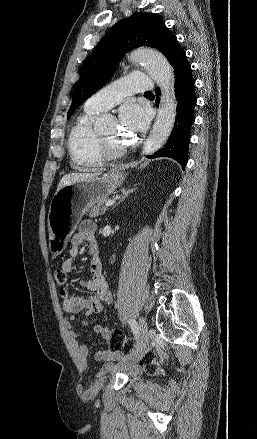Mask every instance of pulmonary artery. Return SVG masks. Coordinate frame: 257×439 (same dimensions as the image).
<instances>
[{"label": "pulmonary artery", "instance_id": "1", "mask_svg": "<svg viewBox=\"0 0 257 439\" xmlns=\"http://www.w3.org/2000/svg\"><path fill=\"white\" fill-rule=\"evenodd\" d=\"M155 88V83L147 74L134 72L104 87L85 103L87 111H106L117 105L131 93H148Z\"/></svg>", "mask_w": 257, "mask_h": 439}]
</instances>
